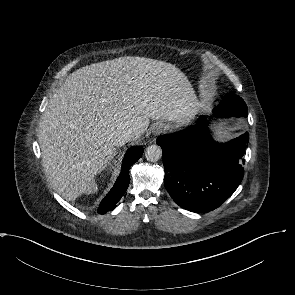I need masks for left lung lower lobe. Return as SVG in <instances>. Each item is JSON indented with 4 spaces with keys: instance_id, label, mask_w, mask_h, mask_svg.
<instances>
[{
    "instance_id": "0a47b994",
    "label": "left lung lower lobe",
    "mask_w": 295,
    "mask_h": 295,
    "mask_svg": "<svg viewBox=\"0 0 295 295\" xmlns=\"http://www.w3.org/2000/svg\"><path fill=\"white\" fill-rule=\"evenodd\" d=\"M217 118L240 117L218 107ZM179 133L163 135L156 142L162 148L164 184L172 199L192 212L207 213L219 207L237 189L244 175V154L248 132L225 144L211 140L207 120Z\"/></svg>"
}]
</instances>
